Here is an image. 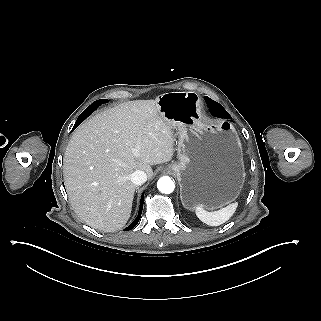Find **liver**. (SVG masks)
Wrapping results in <instances>:
<instances>
[{
  "label": "liver",
  "instance_id": "6515ba94",
  "mask_svg": "<svg viewBox=\"0 0 321 321\" xmlns=\"http://www.w3.org/2000/svg\"><path fill=\"white\" fill-rule=\"evenodd\" d=\"M156 100L120 104L84 122L74 132L64 155V180L74 211L90 227L116 231L130 217L136 185L130 175L170 162L176 129Z\"/></svg>",
  "mask_w": 321,
  "mask_h": 321
}]
</instances>
